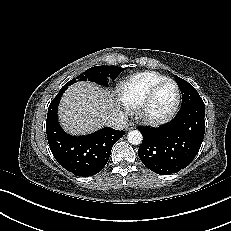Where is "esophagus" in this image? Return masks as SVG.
I'll use <instances>...</instances> for the list:
<instances>
[{
    "instance_id": "1",
    "label": "esophagus",
    "mask_w": 231,
    "mask_h": 231,
    "mask_svg": "<svg viewBox=\"0 0 231 231\" xmlns=\"http://www.w3.org/2000/svg\"><path fill=\"white\" fill-rule=\"evenodd\" d=\"M134 128H135V124L132 123V122H130V123H128V124L126 125V130H132V129H134Z\"/></svg>"
}]
</instances>
